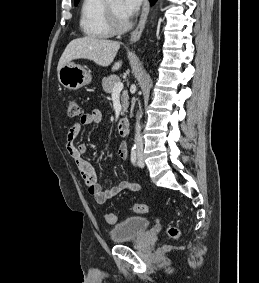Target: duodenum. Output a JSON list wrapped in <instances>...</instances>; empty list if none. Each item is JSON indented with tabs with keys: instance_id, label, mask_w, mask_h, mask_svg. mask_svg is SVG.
I'll return each instance as SVG.
<instances>
[{
	"instance_id": "duodenum-1",
	"label": "duodenum",
	"mask_w": 259,
	"mask_h": 283,
	"mask_svg": "<svg viewBox=\"0 0 259 283\" xmlns=\"http://www.w3.org/2000/svg\"><path fill=\"white\" fill-rule=\"evenodd\" d=\"M129 120L127 118H122L117 124V132L121 136H125L128 133Z\"/></svg>"
}]
</instances>
